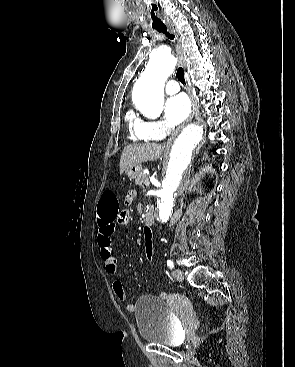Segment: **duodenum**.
<instances>
[{
  "mask_svg": "<svg viewBox=\"0 0 295 367\" xmlns=\"http://www.w3.org/2000/svg\"><path fill=\"white\" fill-rule=\"evenodd\" d=\"M155 220V214L154 209L152 207H149L144 215V222L145 224H152Z\"/></svg>",
  "mask_w": 295,
  "mask_h": 367,
  "instance_id": "duodenum-1",
  "label": "duodenum"
}]
</instances>
